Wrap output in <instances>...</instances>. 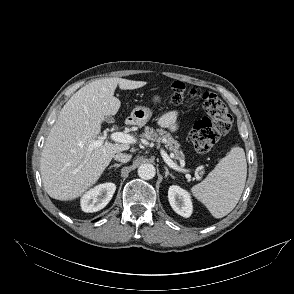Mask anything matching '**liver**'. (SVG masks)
Instances as JSON below:
<instances>
[{"mask_svg":"<svg viewBox=\"0 0 294 294\" xmlns=\"http://www.w3.org/2000/svg\"><path fill=\"white\" fill-rule=\"evenodd\" d=\"M146 84L122 78L98 79L66 102L49 132L40 160L43 186L51 198L68 201L80 197L98 181L116 153L130 148L124 143L91 144L100 138L105 117L116 115L120 108V100L114 97L117 85L121 90H133Z\"/></svg>","mask_w":294,"mask_h":294,"instance_id":"1","label":"liver"}]
</instances>
